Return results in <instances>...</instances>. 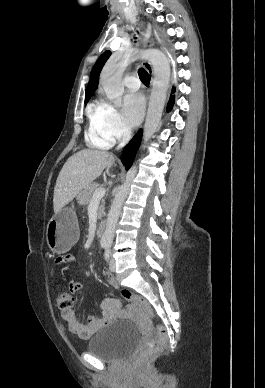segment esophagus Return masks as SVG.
<instances>
[{
  "instance_id": "34e87169",
  "label": "esophagus",
  "mask_w": 265,
  "mask_h": 388,
  "mask_svg": "<svg viewBox=\"0 0 265 388\" xmlns=\"http://www.w3.org/2000/svg\"><path fill=\"white\" fill-rule=\"evenodd\" d=\"M138 29H139L140 34L142 36H144L145 33H146V25H145V23L142 20H140V22H139ZM154 45H155V40L152 37L149 38V40H145L144 43H143L144 48H150V47H152ZM142 65L145 68V70H147V72L149 74L153 73V68H152V65H151L150 62L144 61L142 63Z\"/></svg>"
}]
</instances>
